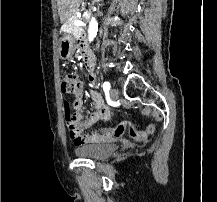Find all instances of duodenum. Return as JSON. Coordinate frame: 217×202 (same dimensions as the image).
<instances>
[{"label": "duodenum", "mask_w": 217, "mask_h": 202, "mask_svg": "<svg viewBox=\"0 0 217 202\" xmlns=\"http://www.w3.org/2000/svg\"><path fill=\"white\" fill-rule=\"evenodd\" d=\"M81 56L89 75H93L94 67H95L94 55L89 49H87L84 45H82Z\"/></svg>", "instance_id": "obj_1"}]
</instances>
